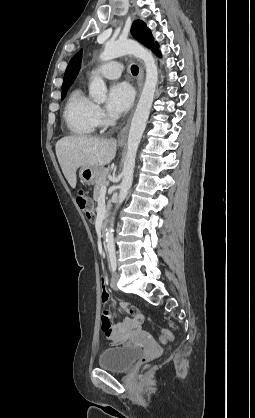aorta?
I'll list each match as a JSON object with an SVG mask.
<instances>
[{"mask_svg": "<svg viewBox=\"0 0 255 418\" xmlns=\"http://www.w3.org/2000/svg\"><path fill=\"white\" fill-rule=\"evenodd\" d=\"M126 54H132L144 62L146 78L130 125L127 152L123 167V179L116 205L117 208L126 198L133 182L137 149L146 127L158 83V70L152 53L133 40L108 41L104 46V51L100 55V60L109 61ZM89 94L96 102H104L106 100L107 87L102 78L94 77L92 79L89 85ZM113 221L114 217L112 218L111 226L106 230L105 240L106 248L110 256L115 255Z\"/></svg>", "mask_w": 255, "mask_h": 418, "instance_id": "1", "label": "aorta"}]
</instances>
